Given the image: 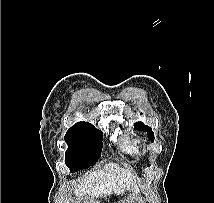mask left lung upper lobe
<instances>
[{
    "label": "left lung upper lobe",
    "mask_w": 214,
    "mask_h": 203,
    "mask_svg": "<svg viewBox=\"0 0 214 203\" xmlns=\"http://www.w3.org/2000/svg\"><path fill=\"white\" fill-rule=\"evenodd\" d=\"M134 127H135L136 129H140V130L146 131L147 134H148V136H149V139H150L151 141H154V133H153L151 127L144 125L142 122H137V123H135V124H134Z\"/></svg>",
    "instance_id": "left-lung-upper-lobe-1"
}]
</instances>
